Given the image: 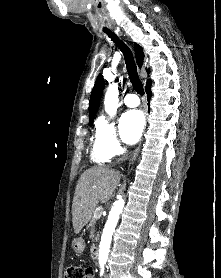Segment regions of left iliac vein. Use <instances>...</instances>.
I'll list each match as a JSON object with an SVG mask.
<instances>
[{"label":"left iliac vein","mask_w":221,"mask_h":278,"mask_svg":"<svg viewBox=\"0 0 221 278\" xmlns=\"http://www.w3.org/2000/svg\"><path fill=\"white\" fill-rule=\"evenodd\" d=\"M105 278H110V277H109V274H106Z\"/></svg>","instance_id":"obj_1"}]
</instances>
